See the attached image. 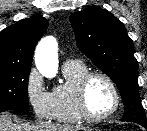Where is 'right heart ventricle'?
Wrapping results in <instances>:
<instances>
[{
    "label": "right heart ventricle",
    "instance_id": "e07e8e85",
    "mask_svg": "<svg viewBox=\"0 0 147 131\" xmlns=\"http://www.w3.org/2000/svg\"><path fill=\"white\" fill-rule=\"evenodd\" d=\"M88 71V67L79 61L66 62L63 65L64 81L51 92L54 103L53 120L66 124L82 120L76 106L75 89L79 79Z\"/></svg>",
    "mask_w": 147,
    "mask_h": 131
}]
</instances>
